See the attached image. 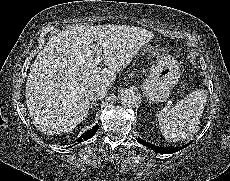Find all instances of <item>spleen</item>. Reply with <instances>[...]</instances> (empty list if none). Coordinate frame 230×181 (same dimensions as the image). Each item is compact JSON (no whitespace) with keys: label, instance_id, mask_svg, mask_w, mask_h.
<instances>
[{"label":"spleen","instance_id":"obj_1","mask_svg":"<svg viewBox=\"0 0 230 181\" xmlns=\"http://www.w3.org/2000/svg\"><path fill=\"white\" fill-rule=\"evenodd\" d=\"M204 95L203 91H194L173 108H164L156 113L162 135L167 140L179 141L192 135L206 104Z\"/></svg>","mask_w":230,"mask_h":181}]
</instances>
